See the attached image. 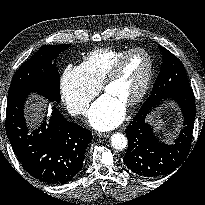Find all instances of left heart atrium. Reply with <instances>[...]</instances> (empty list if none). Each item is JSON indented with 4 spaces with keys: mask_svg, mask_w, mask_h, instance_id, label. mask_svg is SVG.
<instances>
[{
    "mask_svg": "<svg viewBox=\"0 0 205 205\" xmlns=\"http://www.w3.org/2000/svg\"><path fill=\"white\" fill-rule=\"evenodd\" d=\"M124 105L105 93L91 106L88 122L97 130H110L118 126L124 118Z\"/></svg>",
    "mask_w": 205,
    "mask_h": 205,
    "instance_id": "1",
    "label": "left heart atrium"
}]
</instances>
